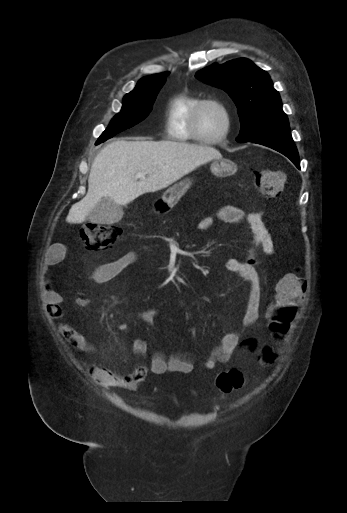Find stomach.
Instances as JSON below:
<instances>
[{
    "mask_svg": "<svg viewBox=\"0 0 347 513\" xmlns=\"http://www.w3.org/2000/svg\"><path fill=\"white\" fill-rule=\"evenodd\" d=\"M210 169L215 176L225 177L231 175L234 172L236 169V164L229 159H219L214 160L211 163ZM191 185V180L186 178L168 188L160 199V202L164 204V207L162 209H157V212L160 213L170 210L176 204L179 198L189 190Z\"/></svg>",
    "mask_w": 347,
    "mask_h": 513,
    "instance_id": "0dacf381",
    "label": "stomach"
}]
</instances>
